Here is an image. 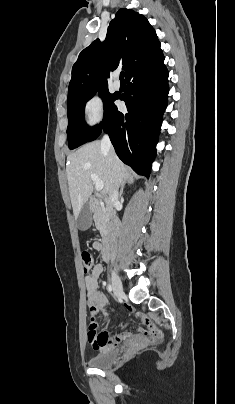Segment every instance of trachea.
I'll return each instance as SVG.
<instances>
[{
  "mask_svg": "<svg viewBox=\"0 0 235 404\" xmlns=\"http://www.w3.org/2000/svg\"><path fill=\"white\" fill-rule=\"evenodd\" d=\"M120 80L124 81V72L123 71L120 73Z\"/></svg>",
  "mask_w": 235,
  "mask_h": 404,
  "instance_id": "trachea-1",
  "label": "trachea"
}]
</instances>
